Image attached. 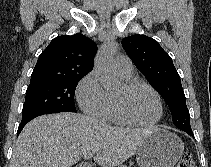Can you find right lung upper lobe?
<instances>
[{
  "mask_svg": "<svg viewBox=\"0 0 211 167\" xmlns=\"http://www.w3.org/2000/svg\"><path fill=\"white\" fill-rule=\"evenodd\" d=\"M96 44L81 33L58 36L40 54L31 81L84 77L94 66Z\"/></svg>",
  "mask_w": 211,
  "mask_h": 167,
  "instance_id": "right-lung-upper-lobe-1",
  "label": "right lung upper lobe"
}]
</instances>
